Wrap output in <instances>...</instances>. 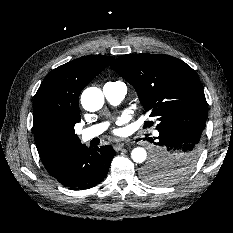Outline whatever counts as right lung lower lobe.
Here are the masks:
<instances>
[{
	"label": "right lung lower lobe",
	"mask_w": 233,
	"mask_h": 233,
	"mask_svg": "<svg viewBox=\"0 0 233 233\" xmlns=\"http://www.w3.org/2000/svg\"><path fill=\"white\" fill-rule=\"evenodd\" d=\"M115 154L110 145L88 148L80 143L56 151L43 163L50 175L64 187L83 190L94 187L105 178Z\"/></svg>",
	"instance_id": "obj_1"
}]
</instances>
